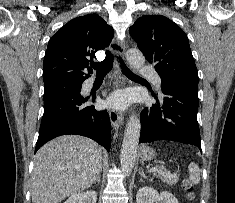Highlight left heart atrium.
Segmentation results:
<instances>
[{
	"label": "left heart atrium",
	"instance_id": "1",
	"mask_svg": "<svg viewBox=\"0 0 235 203\" xmlns=\"http://www.w3.org/2000/svg\"><path fill=\"white\" fill-rule=\"evenodd\" d=\"M131 101V96L127 91H118L112 94L107 103L116 108H125Z\"/></svg>",
	"mask_w": 235,
	"mask_h": 203
}]
</instances>
